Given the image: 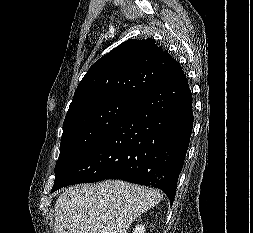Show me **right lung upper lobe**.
<instances>
[{
    "label": "right lung upper lobe",
    "mask_w": 253,
    "mask_h": 233,
    "mask_svg": "<svg viewBox=\"0 0 253 233\" xmlns=\"http://www.w3.org/2000/svg\"><path fill=\"white\" fill-rule=\"evenodd\" d=\"M181 70L153 39H129L94 63L79 83L67 114L113 97L136 100Z\"/></svg>",
    "instance_id": "obj_1"
}]
</instances>
